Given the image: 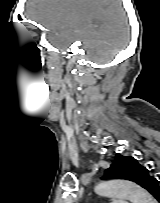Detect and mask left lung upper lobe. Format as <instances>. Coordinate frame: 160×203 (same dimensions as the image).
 I'll list each match as a JSON object with an SVG mask.
<instances>
[{
	"mask_svg": "<svg viewBox=\"0 0 160 203\" xmlns=\"http://www.w3.org/2000/svg\"><path fill=\"white\" fill-rule=\"evenodd\" d=\"M103 178L133 181L146 190L149 189L155 179L150 171L140 165L134 157L122 156L121 154L116 155L111 167L105 170Z\"/></svg>",
	"mask_w": 160,
	"mask_h": 203,
	"instance_id": "1",
	"label": "left lung upper lobe"
}]
</instances>
